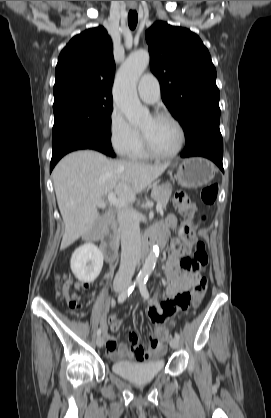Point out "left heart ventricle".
<instances>
[{
	"label": "left heart ventricle",
	"instance_id": "1",
	"mask_svg": "<svg viewBox=\"0 0 271 418\" xmlns=\"http://www.w3.org/2000/svg\"><path fill=\"white\" fill-rule=\"evenodd\" d=\"M141 130L146 133L157 152L170 153L178 146L179 132L168 119H154L150 116L141 125Z\"/></svg>",
	"mask_w": 271,
	"mask_h": 418
}]
</instances>
